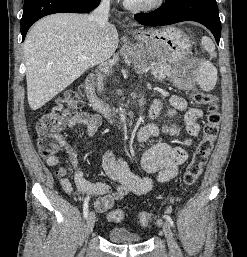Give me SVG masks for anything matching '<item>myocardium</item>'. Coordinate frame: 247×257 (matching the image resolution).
<instances>
[{
    "instance_id": "1",
    "label": "myocardium",
    "mask_w": 247,
    "mask_h": 257,
    "mask_svg": "<svg viewBox=\"0 0 247 257\" xmlns=\"http://www.w3.org/2000/svg\"><path fill=\"white\" fill-rule=\"evenodd\" d=\"M164 3L165 0H150L141 3L125 0V6L135 12H153L161 8Z\"/></svg>"
}]
</instances>
